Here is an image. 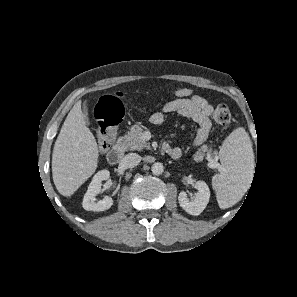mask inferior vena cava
I'll list each match as a JSON object with an SVG mask.
<instances>
[{"mask_svg":"<svg viewBox=\"0 0 297 297\" xmlns=\"http://www.w3.org/2000/svg\"><path fill=\"white\" fill-rule=\"evenodd\" d=\"M141 161V156L137 153H129L123 158V163L128 168L137 166Z\"/></svg>","mask_w":297,"mask_h":297,"instance_id":"inferior-vena-cava-1","label":"inferior vena cava"}]
</instances>
